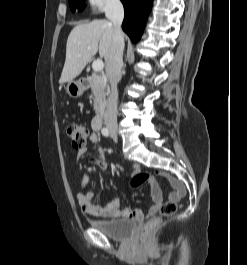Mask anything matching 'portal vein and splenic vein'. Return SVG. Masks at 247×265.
Here are the masks:
<instances>
[{
  "instance_id": "obj_1",
  "label": "portal vein and splenic vein",
  "mask_w": 247,
  "mask_h": 265,
  "mask_svg": "<svg viewBox=\"0 0 247 265\" xmlns=\"http://www.w3.org/2000/svg\"><path fill=\"white\" fill-rule=\"evenodd\" d=\"M90 49V47H89ZM104 67V63L102 60L98 59V60H95L92 64V69L95 71V72H98V71H101Z\"/></svg>"
}]
</instances>
